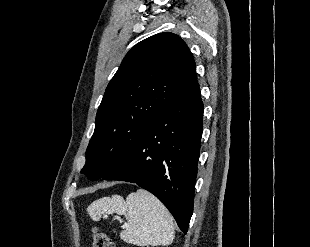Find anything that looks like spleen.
Segmentation results:
<instances>
[{
    "label": "spleen",
    "mask_w": 310,
    "mask_h": 247,
    "mask_svg": "<svg viewBox=\"0 0 310 247\" xmlns=\"http://www.w3.org/2000/svg\"><path fill=\"white\" fill-rule=\"evenodd\" d=\"M87 211L94 221L105 214L124 215L128 226L120 237L137 246H168L174 239L173 217L167 208L150 192L138 189L126 200L120 195L104 197L94 201Z\"/></svg>",
    "instance_id": "spleen-1"
}]
</instances>
